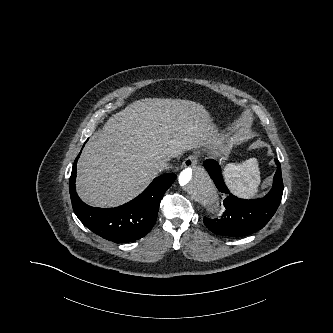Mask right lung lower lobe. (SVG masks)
Here are the masks:
<instances>
[{
	"label": "right lung lower lobe",
	"mask_w": 333,
	"mask_h": 333,
	"mask_svg": "<svg viewBox=\"0 0 333 333\" xmlns=\"http://www.w3.org/2000/svg\"><path fill=\"white\" fill-rule=\"evenodd\" d=\"M78 157L69 180L72 207L78 219L92 232L115 243L135 241L149 233L156 222L160 201L177 176L164 174L155 178L138 197L122 206L95 208L85 204L76 194Z\"/></svg>",
	"instance_id": "1"
}]
</instances>
